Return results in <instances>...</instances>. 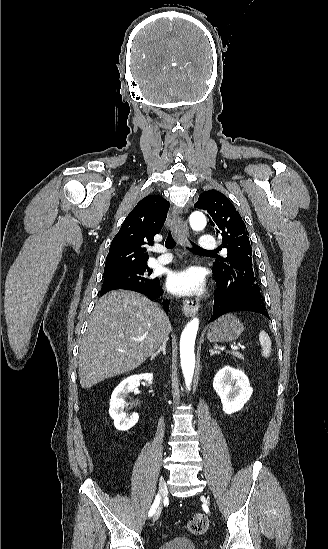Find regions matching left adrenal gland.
<instances>
[{
	"mask_svg": "<svg viewBox=\"0 0 328 549\" xmlns=\"http://www.w3.org/2000/svg\"><path fill=\"white\" fill-rule=\"evenodd\" d=\"M210 355H214V353H218V351H215V349H209Z\"/></svg>",
	"mask_w": 328,
	"mask_h": 549,
	"instance_id": "left-adrenal-gland-1",
	"label": "left adrenal gland"
}]
</instances>
